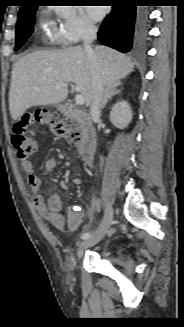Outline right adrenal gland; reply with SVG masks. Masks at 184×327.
<instances>
[{
  "mask_svg": "<svg viewBox=\"0 0 184 327\" xmlns=\"http://www.w3.org/2000/svg\"><path fill=\"white\" fill-rule=\"evenodd\" d=\"M121 84H114L106 88L104 95H103V100L101 103V109H104L106 107V104L108 103L109 100L112 99L113 96L118 95L121 93V90L118 89V87Z\"/></svg>",
  "mask_w": 184,
  "mask_h": 327,
  "instance_id": "2a0ac1e0",
  "label": "right adrenal gland"
}]
</instances>
